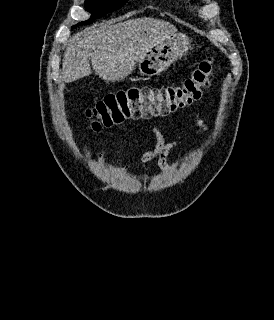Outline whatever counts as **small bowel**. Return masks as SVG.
Here are the masks:
<instances>
[{
	"instance_id": "small-bowel-1",
	"label": "small bowel",
	"mask_w": 274,
	"mask_h": 320,
	"mask_svg": "<svg viewBox=\"0 0 274 320\" xmlns=\"http://www.w3.org/2000/svg\"><path fill=\"white\" fill-rule=\"evenodd\" d=\"M194 123L197 128V132L199 134H204L208 132V126L205 124V122L202 120L199 110H196L194 113ZM150 132L153 134L155 138V145L154 147L146 151L145 153L142 154L140 161L143 165L148 164L150 161L156 159L159 167L165 171V172H171L172 167L168 161L169 154L173 148L179 145L178 141H166V138L162 131L154 125L149 126ZM88 152V150H86ZM122 154L123 150L121 147H118L117 152H116V163L117 166L123 170V171H128L131 169V167L127 164H124L122 162ZM96 158L99 163V165L107 169V162L105 159V150L103 148H99L96 152Z\"/></svg>"
}]
</instances>
